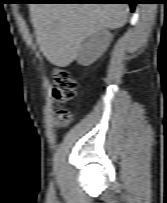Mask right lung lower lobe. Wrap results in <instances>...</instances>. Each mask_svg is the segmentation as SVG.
<instances>
[{"label":"right lung lower lobe","instance_id":"1","mask_svg":"<svg viewBox=\"0 0 167 203\" xmlns=\"http://www.w3.org/2000/svg\"><path fill=\"white\" fill-rule=\"evenodd\" d=\"M85 2L81 3H127L130 4L131 12L135 10V4L137 0H84Z\"/></svg>","mask_w":167,"mask_h":203}]
</instances>
